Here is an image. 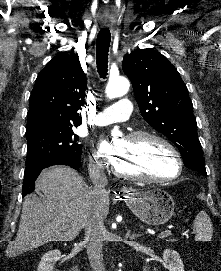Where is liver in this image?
Returning a JSON list of instances; mask_svg holds the SVG:
<instances>
[{
    "label": "liver",
    "instance_id": "liver-1",
    "mask_svg": "<svg viewBox=\"0 0 221 271\" xmlns=\"http://www.w3.org/2000/svg\"><path fill=\"white\" fill-rule=\"evenodd\" d=\"M35 187L45 197L25 195L18 231L6 247V257H15L48 241H72L83 229L94 201L92 187L68 165L43 169ZM96 203L105 219L109 213V197Z\"/></svg>",
    "mask_w": 221,
    "mask_h": 271
}]
</instances>
